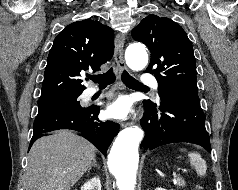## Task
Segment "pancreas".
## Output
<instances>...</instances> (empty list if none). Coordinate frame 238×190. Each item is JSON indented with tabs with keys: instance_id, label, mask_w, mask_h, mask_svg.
I'll use <instances>...</instances> for the list:
<instances>
[{
	"instance_id": "pancreas-1",
	"label": "pancreas",
	"mask_w": 238,
	"mask_h": 190,
	"mask_svg": "<svg viewBox=\"0 0 238 190\" xmlns=\"http://www.w3.org/2000/svg\"><path fill=\"white\" fill-rule=\"evenodd\" d=\"M175 183L179 186H182L184 184L183 180L181 178L175 179Z\"/></svg>"
}]
</instances>
